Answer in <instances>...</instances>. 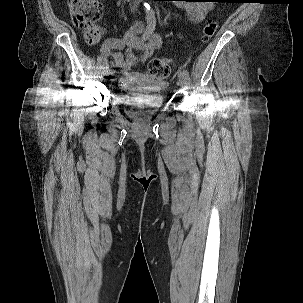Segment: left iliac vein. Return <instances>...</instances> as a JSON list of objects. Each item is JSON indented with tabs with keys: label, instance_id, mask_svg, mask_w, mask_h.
Segmentation results:
<instances>
[{
	"label": "left iliac vein",
	"instance_id": "left-iliac-vein-1",
	"mask_svg": "<svg viewBox=\"0 0 303 303\" xmlns=\"http://www.w3.org/2000/svg\"><path fill=\"white\" fill-rule=\"evenodd\" d=\"M177 84H178L180 87H185V86L188 84L186 75H185V73H184L183 71L180 72L179 75H178Z\"/></svg>",
	"mask_w": 303,
	"mask_h": 303
}]
</instances>
